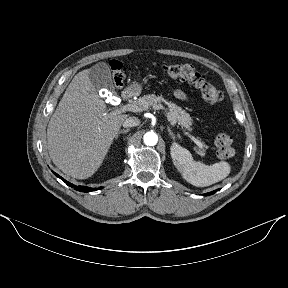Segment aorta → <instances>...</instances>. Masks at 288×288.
<instances>
[{
    "mask_svg": "<svg viewBox=\"0 0 288 288\" xmlns=\"http://www.w3.org/2000/svg\"><path fill=\"white\" fill-rule=\"evenodd\" d=\"M144 143L147 146H154L158 142V136L154 132H147L143 137Z\"/></svg>",
    "mask_w": 288,
    "mask_h": 288,
    "instance_id": "obj_1",
    "label": "aorta"
}]
</instances>
